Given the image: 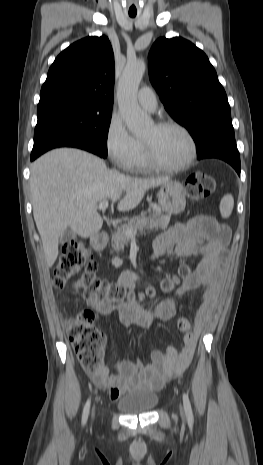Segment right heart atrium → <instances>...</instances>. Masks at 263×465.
Returning <instances> with one entry per match:
<instances>
[{"instance_id":"obj_1","label":"right heart atrium","mask_w":263,"mask_h":465,"mask_svg":"<svg viewBox=\"0 0 263 465\" xmlns=\"http://www.w3.org/2000/svg\"><path fill=\"white\" fill-rule=\"evenodd\" d=\"M105 149L109 158L122 168H130L135 160L139 143L126 129L120 116L113 114L105 132Z\"/></svg>"}]
</instances>
